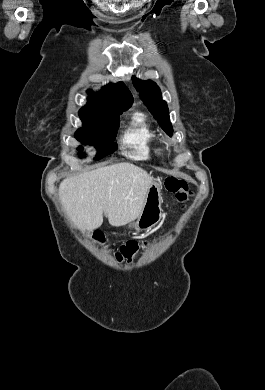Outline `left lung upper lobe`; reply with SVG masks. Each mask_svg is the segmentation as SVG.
<instances>
[{"instance_id": "1", "label": "left lung upper lobe", "mask_w": 265, "mask_h": 390, "mask_svg": "<svg viewBox=\"0 0 265 390\" xmlns=\"http://www.w3.org/2000/svg\"><path fill=\"white\" fill-rule=\"evenodd\" d=\"M132 81L148 110L158 121L162 129L169 136H172L173 129L170 123L169 110L167 103L162 100L161 90L158 85L151 80L144 81L135 76L132 77Z\"/></svg>"}]
</instances>
